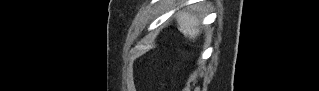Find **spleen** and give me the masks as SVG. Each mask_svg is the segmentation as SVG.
<instances>
[{
    "label": "spleen",
    "instance_id": "spleen-1",
    "mask_svg": "<svg viewBox=\"0 0 319 91\" xmlns=\"http://www.w3.org/2000/svg\"><path fill=\"white\" fill-rule=\"evenodd\" d=\"M178 30L189 39L194 40L199 36V20L195 15L188 12H179L177 14Z\"/></svg>",
    "mask_w": 319,
    "mask_h": 91
}]
</instances>
